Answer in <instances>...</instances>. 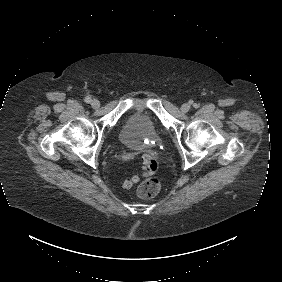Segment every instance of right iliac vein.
Segmentation results:
<instances>
[{
  "instance_id": "1",
  "label": "right iliac vein",
  "mask_w": 282,
  "mask_h": 282,
  "mask_svg": "<svg viewBox=\"0 0 282 282\" xmlns=\"http://www.w3.org/2000/svg\"><path fill=\"white\" fill-rule=\"evenodd\" d=\"M91 106L94 108V109H97L100 107V102L97 100V99H94L91 101Z\"/></svg>"
}]
</instances>
